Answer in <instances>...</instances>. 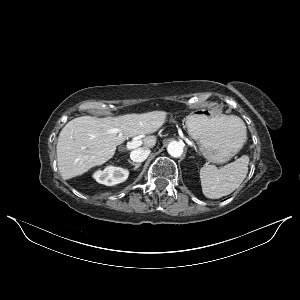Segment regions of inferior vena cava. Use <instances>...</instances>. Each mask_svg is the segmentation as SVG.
<instances>
[{
	"mask_svg": "<svg viewBox=\"0 0 300 300\" xmlns=\"http://www.w3.org/2000/svg\"><path fill=\"white\" fill-rule=\"evenodd\" d=\"M150 154L149 148H137L130 153V158L132 161L140 163L147 159Z\"/></svg>",
	"mask_w": 300,
	"mask_h": 300,
	"instance_id": "obj_1",
	"label": "inferior vena cava"
}]
</instances>
